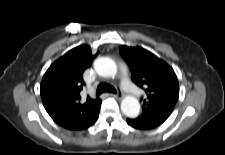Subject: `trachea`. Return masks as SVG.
<instances>
[{"mask_svg": "<svg viewBox=\"0 0 225 155\" xmlns=\"http://www.w3.org/2000/svg\"><path fill=\"white\" fill-rule=\"evenodd\" d=\"M104 92L116 93V89L109 84L101 83V84H99V86L97 88L96 95L99 96L100 94H102Z\"/></svg>", "mask_w": 225, "mask_h": 155, "instance_id": "1", "label": "trachea"}]
</instances>
